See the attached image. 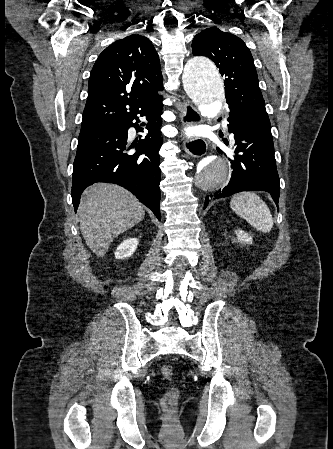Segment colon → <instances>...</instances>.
Segmentation results:
<instances>
[{
  "label": "colon",
  "mask_w": 333,
  "mask_h": 449,
  "mask_svg": "<svg viewBox=\"0 0 333 449\" xmlns=\"http://www.w3.org/2000/svg\"><path fill=\"white\" fill-rule=\"evenodd\" d=\"M161 374L166 379H172L174 376V370L171 366L165 365L161 369ZM178 393V389L174 387L164 395L163 405L167 409L172 410L176 406Z\"/></svg>",
  "instance_id": "1"
}]
</instances>
